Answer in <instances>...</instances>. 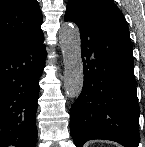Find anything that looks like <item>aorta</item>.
I'll list each match as a JSON object with an SVG mask.
<instances>
[{"instance_id": "obj_1", "label": "aorta", "mask_w": 145, "mask_h": 147, "mask_svg": "<svg viewBox=\"0 0 145 147\" xmlns=\"http://www.w3.org/2000/svg\"><path fill=\"white\" fill-rule=\"evenodd\" d=\"M59 40L64 63V89L69 98H77L84 82L79 29L70 22L62 24Z\"/></svg>"}]
</instances>
